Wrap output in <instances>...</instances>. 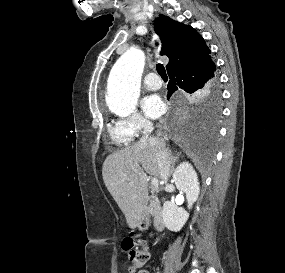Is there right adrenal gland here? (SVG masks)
<instances>
[{
	"instance_id": "2a0ac1e0",
	"label": "right adrenal gland",
	"mask_w": 285,
	"mask_h": 273,
	"mask_svg": "<svg viewBox=\"0 0 285 273\" xmlns=\"http://www.w3.org/2000/svg\"><path fill=\"white\" fill-rule=\"evenodd\" d=\"M170 154V158H171V170H170V175L173 174L174 172V167H175V163L177 162V160L179 159L181 153H176V155L174 156L172 154V152L169 153Z\"/></svg>"
}]
</instances>
